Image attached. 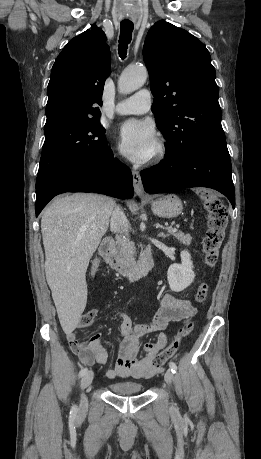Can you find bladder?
<instances>
[{
    "instance_id": "obj_1",
    "label": "bladder",
    "mask_w": 261,
    "mask_h": 459,
    "mask_svg": "<svg viewBox=\"0 0 261 459\" xmlns=\"http://www.w3.org/2000/svg\"><path fill=\"white\" fill-rule=\"evenodd\" d=\"M110 390L116 394L132 395L141 393L143 386L139 382L134 381H120L110 384Z\"/></svg>"
}]
</instances>
